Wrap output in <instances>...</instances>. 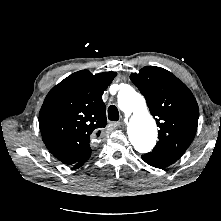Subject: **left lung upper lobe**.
<instances>
[{"label": "left lung upper lobe", "mask_w": 221, "mask_h": 221, "mask_svg": "<svg viewBox=\"0 0 221 221\" xmlns=\"http://www.w3.org/2000/svg\"><path fill=\"white\" fill-rule=\"evenodd\" d=\"M130 79L145 97L160 128L153 152L181 157L198 126L199 110L192 92L172 73L155 66L132 73Z\"/></svg>", "instance_id": "left-lung-upper-lobe-1"}]
</instances>
